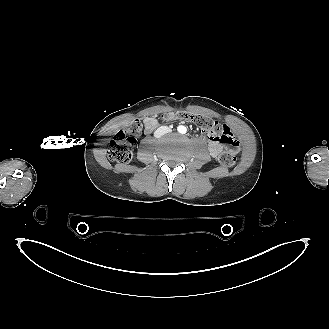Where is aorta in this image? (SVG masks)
Here are the masks:
<instances>
[{"mask_svg":"<svg viewBox=\"0 0 329 329\" xmlns=\"http://www.w3.org/2000/svg\"><path fill=\"white\" fill-rule=\"evenodd\" d=\"M178 131H179V133L184 134V133H186L187 129H186L185 126H180V127L178 128Z\"/></svg>","mask_w":329,"mask_h":329,"instance_id":"obj_1","label":"aorta"}]
</instances>
